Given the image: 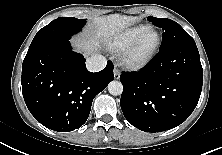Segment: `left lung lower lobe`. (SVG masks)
Listing matches in <instances>:
<instances>
[{
	"instance_id": "0a47b994",
	"label": "left lung lower lobe",
	"mask_w": 222,
	"mask_h": 155,
	"mask_svg": "<svg viewBox=\"0 0 222 155\" xmlns=\"http://www.w3.org/2000/svg\"><path fill=\"white\" fill-rule=\"evenodd\" d=\"M120 99L125 118L145 132H160L183 123L195 109L202 90L203 69L196 45L160 49L136 73H122Z\"/></svg>"
}]
</instances>
